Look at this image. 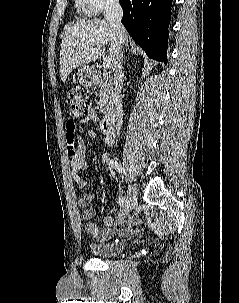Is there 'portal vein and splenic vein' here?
Segmentation results:
<instances>
[{
    "mask_svg": "<svg viewBox=\"0 0 239 303\" xmlns=\"http://www.w3.org/2000/svg\"><path fill=\"white\" fill-rule=\"evenodd\" d=\"M102 66L104 68H109L111 66V59L110 58H104L102 62Z\"/></svg>",
    "mask_w": 239,
    "mask_h": 303,
    "instance_id": "portal-vein-and-splenic-vein-1",
    "label": "portal vein and splenic vein"
}]
</instances>
